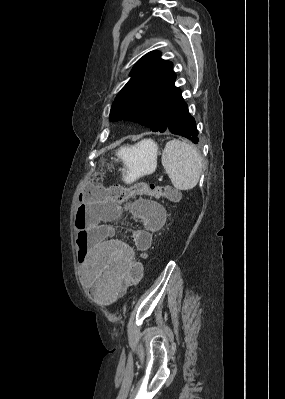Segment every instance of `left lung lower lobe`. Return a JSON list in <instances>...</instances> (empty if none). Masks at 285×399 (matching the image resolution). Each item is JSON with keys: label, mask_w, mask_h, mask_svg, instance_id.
Wrapping results in <instances>:
<instances>
[{"label": "left lung lower lobe", "mask_w": 285, "mask_h": 399, "mask_svg": "<svg viewBox=\"0 0 285 399\" xmlns=\"http://www.w3.org/2000/svg\"><path fill=\"white\" fill-rule=\"evenodd\" d=\"M165 131H170L173 134L184 136L191 139L193 143L199 141L196 129V122L194 118L189 114L187 104L181 98L177 107L173 111L168 126Z\"/></svg>", "instance_id": "1"}]
</instances>
